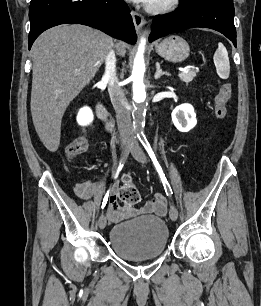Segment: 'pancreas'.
Listing matches in <instances>:
<instances>
[{
  "mask_svg": "<svg viewBox=\"0 0 261 306\" xmlns=\"http://www.w3.org/2000/svg\"><path fill=\"white\" fill-rule=\"evenodd\" d=\"M196 77L195 71H189L187 73H180L179 78L181 81L185 82L186 84L190 83Z\"/></svg>",
  "mask_w": 261,
  "mask_h": 306,
  "instance_id": "pancreas-1",
  "label": "pancreas"
}]
</instances>
